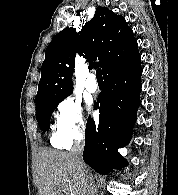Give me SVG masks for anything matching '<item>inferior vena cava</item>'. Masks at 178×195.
I'll return each instance as SVG.
<instances>
[{"label":"inferior vena cava","instance_id":"602c4592","mask_svg":"<svg viewBox=\"0 0 178 195\" xmlns=\"http://www.w3.org/2000/svg\"><path fill=\"white\" fill-rule=\"evenodd\" d=\"M84 149V138L79 137L75 140L74 146L72 148V155L75 159L77 164L78 170L81 172L83 176H87L89 178V194L90 195H97V188L94 183L92 176L89 174L87 167L82 159V152Z\"/></svg>","mask_w":178,"mask_h":195}]
</instances>
